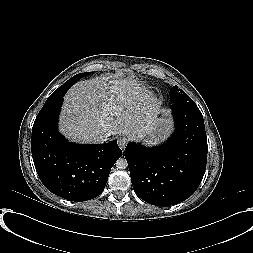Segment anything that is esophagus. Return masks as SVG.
<instances>
[{
    "instance_id": "34e87169",
    "label": "esophagus",
    "mask_w": 253,
    "mask_h": 253,
    "mask_svg": "<svg viewBox=\"0 0 253 253\" xmlns=\"http://www.w3.org/2000/svg\"><path fill=\"white\" fill-rule=\"evenodd\" d=\"M118 145L121 149H124L128 143V137L125 135H122L118 138Z\"/></svg>"
}]
</instances>
